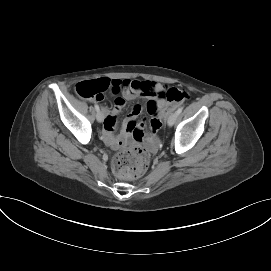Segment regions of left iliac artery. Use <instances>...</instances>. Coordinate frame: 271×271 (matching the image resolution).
Segmentation results:
<instances>
[{
    "instance_id": "obj_1",
    "label": "left iliac artery",
    "mask_w": 271,
    "mask_h": 271,
    "mask_svg": "<svg viewBox=\"0 0 271 271\" xmlns=\"http://www.w3.org/2000/svg\"><path fill=\"white\" fill-rule=\"evenodd\" d=\"M182 110H183V107L178 108L177 111H176L177 114L179 115L182 112Z\"/></svg>"
}]
</instances>
